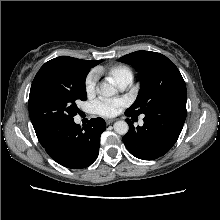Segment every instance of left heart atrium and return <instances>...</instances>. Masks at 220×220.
<instances>
[{
  "mask_svg": "<svg viewBox=\"0 0 220 220\" xmlns=\"http://www.w3.org/2000/svg\"><path fill=\"white\" fill-rule=\"evenodd\" d=\"M122 105L119 100L100 99L94 103V110L101 116L112 117L118 113Z\"/></svg>",
  "mask_w": 220,
  "mask_h": 220,
  "instance_id": "obj_1",
  "label": "left heart atrium"
}]
</instances>
